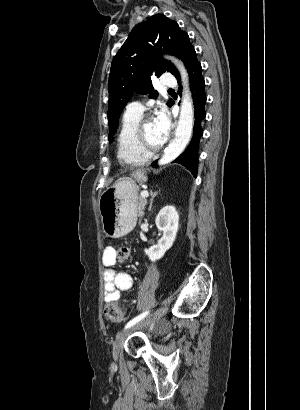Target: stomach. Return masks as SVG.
I'll list each match as a JSON object with an SVG mask.
<instances>
[{
  "label": "stomach",
  "instance_id": "stomach-1",
  "mask_svg": "<svg viewBox=\"0 0 300 410\" xmlns=\"http://www.w3.org/2000/svg\"><path fill=\"white\" fill-rule=\"evenodd\" d=\"M146 179L143 172L136 171L131 178L119 179L101 194L98 207L107 237H122L134 228L138 209V187L135 182Z\"/></svg>",
  "mask_w": 300,
  "mask_h": 410
}]
</instances>
